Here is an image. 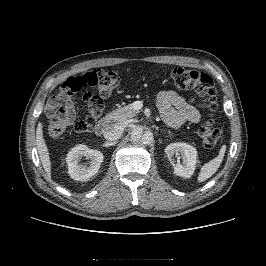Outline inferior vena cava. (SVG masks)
Here are the masks:
<instances>
[{
    "label": "inferior vena cava",
    "instance_id": "inferior-vena-cava-1",
    "mask_svg": "<svg viewBox=\"0 0 266 266\" xmlns=\"http://www.w3.org/2000/svg\"><path fill=\"white\" fill-rule=\"evenodd\" d=\"M124 131V125L122 123L110 124L104 132V137L108 141H114L121 137Z\"/></svg>",
    "mask_w": 266,
    "mask_h": 266
}]
</instances>
